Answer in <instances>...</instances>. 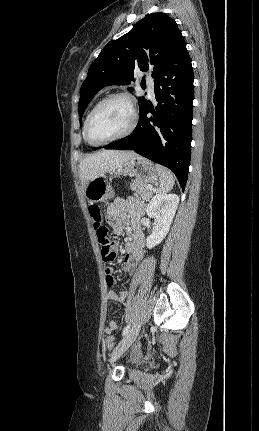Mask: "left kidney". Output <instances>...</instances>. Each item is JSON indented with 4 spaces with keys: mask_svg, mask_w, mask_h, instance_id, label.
I'll return each instance as SVG.
<instances>
[{
    "mask_svg": "<svg viewBox=\"0 0 259 431\" xmlns=\"http://www.w3.org/2000/svg\"><path fill=\"white\" fill-rule=\"evenodd\" d=\"M179 204L176 194H156L148 203L146 213L156 221L152 233L146 239L147 248L151 249L162 242L169 232L170 225Z\"/></svg>",
    "mask_w": 259,
    "mask_h": 431,
    "instance_id": "obj_1",
    "label": "left kidney"
}]
</instances>
